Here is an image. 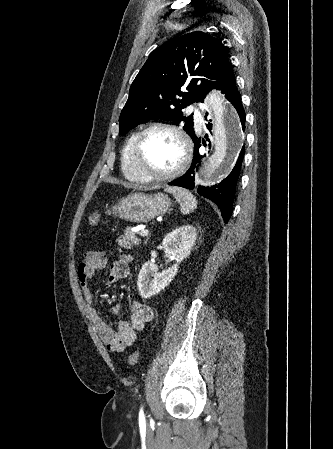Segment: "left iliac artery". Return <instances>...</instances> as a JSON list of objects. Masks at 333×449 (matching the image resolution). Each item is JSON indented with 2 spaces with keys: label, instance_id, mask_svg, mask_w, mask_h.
Listing matches in <instances>:
<instances>
[{
  "label": "left iliac artery",
  "instance_id": "44dca946",
  "mask_svg": "<svg viewBox=\"0 0 333 449\" xmlns=\"http://www.w3.org/2000/svg\"><path fill=\"white\" fill-rule=\"evenodd\" d=\"M142 418H143V411L141 409L140 412H139V419H142Z\"/></svg>",
  "mask_w": 333,
  "mask_h": 449
}]
</instances>
